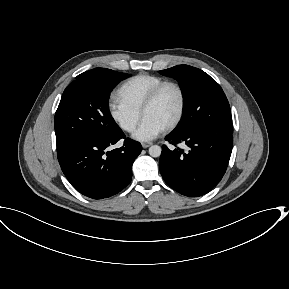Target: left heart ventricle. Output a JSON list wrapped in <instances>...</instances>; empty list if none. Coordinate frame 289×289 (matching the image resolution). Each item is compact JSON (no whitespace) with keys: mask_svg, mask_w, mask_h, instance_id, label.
Returning a JSON list of instances; mask_svg holds the SVG:
<instances>
[{"mask_svg":"<svg viewBox=\"0 0 289 289\" xmlns=\"http://www.w3.org/2000/svg\"><path fill=\"white\" fill-rule=\"evenodd\" d=\"M180 98L177 90L166 87L155 103L144 113V117L151 118L166 127L176 116Z\"/></svg>","mask_w":289,"mask_h":289,"instance_id":"1","label":"left heart ventricle"}]
</instances>
